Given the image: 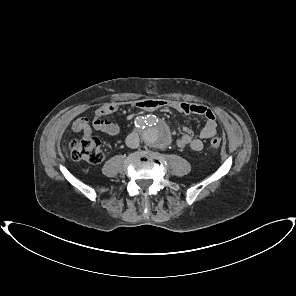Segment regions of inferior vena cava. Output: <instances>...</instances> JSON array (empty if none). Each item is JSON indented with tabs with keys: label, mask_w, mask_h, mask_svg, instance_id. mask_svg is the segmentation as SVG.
Masks as SVG:
<instances>
[{
	"label": "inferior vena cava",
	"mask_w": 296,
	"mask_h": 296,
	"mask_svg": "<svg viewBox=\"0 0 296 296\" xmlns=\"http://www.w3.org/2000/svg\"><path fill=\"white\" fill-rule=\"evenodd\" d=\"M126 145L129 148L135 149L137 147H139L140 145V138L139 135L136 132H132L130 133L127 137H126Z\"/></svg>",
	"instance_id": "obj_1"
}]
</instances>
